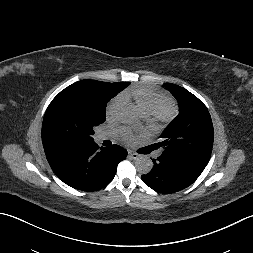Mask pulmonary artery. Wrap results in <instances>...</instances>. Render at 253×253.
Masks as SVG:
<instances>
[{
	"label": "pulmonary artery",
	"instance_id": "e3ab8cb5",
	"mask_svg": "<svg viewBox=\"0 0 253 253\" xmlns=\"http://www.w3.org/2000/svg\"><path fill=\"white\" fill-rule=\"evenodd\" d=\"M106 139H108L107 134H100V135L97 136L98 141H103V140H106Z\"/></svg>",
	"mask_w": 253,
	"mask_h": 253
}]
</instances>
